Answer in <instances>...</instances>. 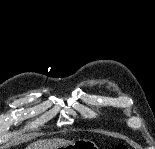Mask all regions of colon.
Wrapping results in <instances>:
<instances>
[{"label": "colon", "instance_id": "colon-1", "mask_svg": "<svg viewBox=\"0 0 155 149\" xmlns=\"http://www.w3.org/2000/svg\"><path fill=\"white\" fill-rule=\"evenodd\" d=\"M115 149H128L125 144H118Z\"/></svg>", "mask_w": 155, "mask_h": 149}]
</instances>
